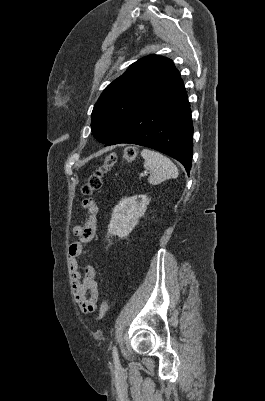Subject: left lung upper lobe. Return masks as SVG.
<instances>
[{
	"mask_svg": "<svg viewBox=\"0 0 265 401\" xmlns=\"http://www.w3.org/2000/svg\"><path fill=\"white\" fill-rule=\"evenodd\" d=\"M179 77L172 60L162 56L149 55L131 64L105 88L96 102L91 120L94 137L101 143L108 142Z\"/></svg>",
	"mask_w": 265,
	"mask_h": 401,
	"instance_id": "left-lung-upper-lobe-1",
	"label": "left lung upper lobe"
}]
</instances>
